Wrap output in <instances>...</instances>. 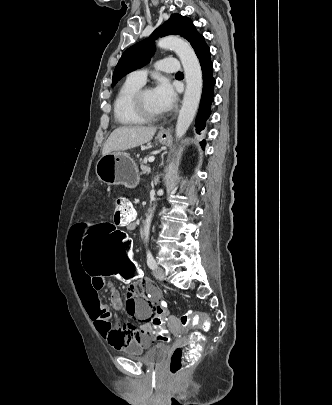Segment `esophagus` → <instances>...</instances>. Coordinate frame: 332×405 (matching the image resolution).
Returning a JSON list of instances; mask_svg holds the SVG:
<instances>
[{
    "label": "esophagus",
    "mask_w": 332,
    "mask_h": 405,
    "mask_svg": "<svg viewBox=\"0 0 332 405\" xmlns=\"http://www.w3.org/2000/svg\"><path fill=\"white\" fill-rule=\"evenodd\" d=\"M160 134H161L162 136H168V135H169V130H162V131L160 132Z\"/></svg>",
    "instance_id": "34e87169"
}]
</instances>
